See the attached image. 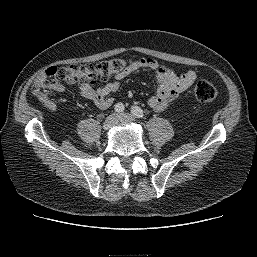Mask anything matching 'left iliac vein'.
<instances>
[{
    "mask_svg": "<svg viewBox=\"0 0 257 257\" xmlns=\"http://www.w3.org/2000/svg\"><path fill=\"white\" fill-rule=\"evenodd\" d=\"M119 120L121 123H132L134 122V117L128 113H121L119 115Z\"/></svg>",
    "mask_w": 257,
    "mask_h": 257,
    "instance_id": "1",
    "label": "left iliac vein"
}]
</instances>
